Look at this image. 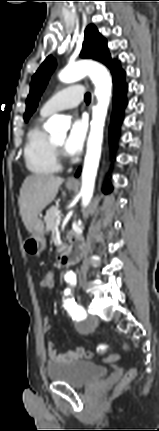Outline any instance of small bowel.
I'll return each mask as SVG.
<instances>
[{
	"mask_svg": "<svg viewBox=\"0 0 159 431\" xmlns=\"http://www.w3.org/2000/svg\"><path fill=\"white\" fill-rule=\"evenodd\" d=\"M52 267L46 266L43 277L41 278L39 285L43 289H49V279L51 277ZM54 276V274H53ZM52 329L50 318L45 316L43 318V330L49 332ZM85 348L76 347L65 353H58L57 349L52 341L47 343V354L50 363H68L85 357Z\"/></svg>",
	"mask_w": 159,
	"mask_h": 431,
	"instance_id": "c3829d8e",
	"label": "small bowel"
}]
</instances>
